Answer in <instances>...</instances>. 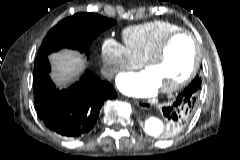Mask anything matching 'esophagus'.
Listing matches in <instances>:
<instances>
[{
  "label": "esophagus",
  "mask_w": 240,
  "mask_h": 160,
  "mask_svg": "<svg viewBox=\"0 0 240 160\" xmlns=\"http://www.w3.org/2000/svg\"><path fill=\"white\" fill-rule=\"evenodd\" d=\"M134 103L140 106L141 108H146V105H147V102L139 101V100H134Z\"/></svg>",
  "instance_id": "obj_1"
}]
</instances>
